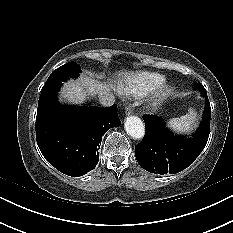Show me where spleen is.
Here are the masks:
<instances>
[{
	"label": "spleen",
	"instance_id": "1",
	"mask_svg": "<svg viewBox=\"0 0 233 233\" xmlns=\"http://www.w3.org/2000/svg\"><path fill=\"white\" fill-rule=\"evenodd\" d=\"M197 114L190 108L186 115L179 118H172L168 121V126L178 133H188L196 127Z\"/></svg>",
	"mask_w": 233,
	"mask_h": 233
}]
</instances>
